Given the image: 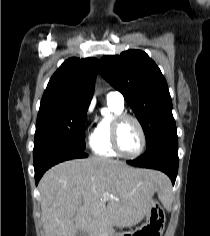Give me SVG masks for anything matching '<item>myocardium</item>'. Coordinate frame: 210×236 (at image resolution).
I'll use <instances>...</instances> for the list:
<instances>
[{
  "label": "myocardium",
  "mask_w": 210,
  "mask_h": 236,
  "mask_svg": "<svg viewBox=\"0 0 210 236\" xmlns=\"http://www.w3.org/2000/svg\"><path fill=\"white\" fill-rule=\"evenodd\" d=\"M125 120L134 121L136 123V125L138 126V129H139V132L141 135L140 148L136 153L131 154V155L125 154L122 151V149L120 147V143H119L120 127H121V124ZM111 143H112V147H113L114 151L116 152V154L118 156L125 158V159H135V158L139 157L143 153V151L146 147V143H147L146 133H145V130H144V127H143L141 121L137 117H135L131 114H127V113H120V114L116 115L113 119V122H112Z\"/></svg>",
  "instance_id": "f54148a6"
}]
</instances>
